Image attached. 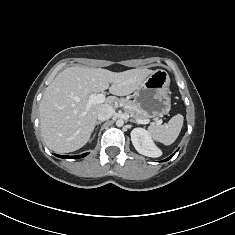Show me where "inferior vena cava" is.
I'll use <instances>...</instances> for the list:
<instances>
[{"mask_svg":"<svg viewBox=\"0 0 235 235\" xmlns=\"http://www.w3.org/2000/svg\"><path fill=\"white\" fill-rule=\"evenodd\" d=\"M114 114V109L112 106L104 105L97 112V118L100 121L108 120Z\"/></svg>","mask_w":235,"mask_h":235,"instance_id":"inferior-vena-cava-1","label":"inferior vena cava"}]
</instances>
